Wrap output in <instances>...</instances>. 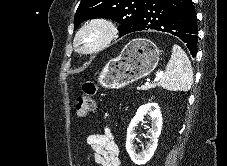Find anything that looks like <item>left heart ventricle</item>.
<instances>
[{
	"label": "left heart ventricle",
	"mask_w": 227,
	"mask_h": 166,
	"mask_svg": "<svg viewBox=\"0 0 227 166\" xmlns=\"http://www.w3.org/2000/svg\"><path fill=\"white\" fill-rule=\"evenodd\" d=\"M97 37H98L97 32L95 31L90 32L82 38L81 43L83 46H89L97 39Z\"/></svg>",
	"instance_id": "b2bd125f"
}]
</instances>
